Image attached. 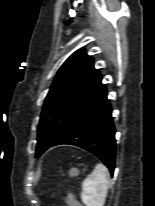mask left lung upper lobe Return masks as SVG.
<instances>
[{
	"label": "left lung upper lobe",
	"instance_id": "obj_1",
	"mask_svg": "<svg viewBox=\"0 0 155 206\" xmlns=\"http://www.w3.org/2000/svg\"><path fill=\"white\" fill-rule=\"evenodd\" d=\"M93 59L75 51L58 71L47 94L38 125L36 157L66 134L84 111L105 92Z\"/></svg>",
	"mask_w": 155,
	"mask_h": 206
}]
</instances>
